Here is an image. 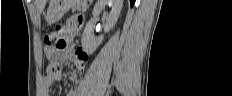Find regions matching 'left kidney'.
I'll return each instance as SVG.
<instances>
[{
  "label": "left kidney",
  "instance_id": "left-kidney-1",
  "mask_svg": "<svg viewBox=\"0 0 232 96\" xmlns=\"http://www.w3.org/2000/svg\"><path fill=\"white\" fill-rule=\"evenodd\" d=\"M106 5L111 6L110 13H104L103 18L106 20L104 31L109 32L114 25L116 24L118 17L120 15L123 0H98L93 8L92 15L93 17L99 16L101 11L105 8ZM93 22L92 20L89 21L84 29L82 34L81 43L83 50L88 53L92 54L97 47L102 43L103 36L96 38L93 33Z\"/></svg>",
  "mask_w": 232,
  "mask_h": 96
}]
</instances>
